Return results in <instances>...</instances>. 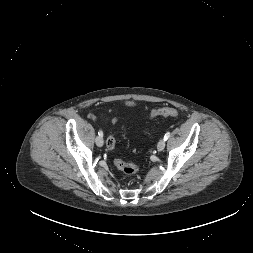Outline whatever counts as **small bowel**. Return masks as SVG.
Returning a JSON list of instances; mask_svg holds the SVG:
<instances>
[{
	"label": "small bowel",
	"instance_id": "small-bowel-1",
	"mask_svg": "<svg viewBox=\"0 0 253 253\" xmlns=\"http://www.w3.org/2000/svg\"><path fill=\"white\" fill-rule=\"evenodd\" d=\"M93 118L95 119L96 117L93 116ZM111 122H112L113 124L116 123V122H117V118H112Z\"/></svg>",
	"mask_w": 253,
	"mask_h": 253
}]
</instances>
